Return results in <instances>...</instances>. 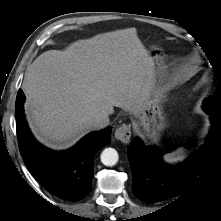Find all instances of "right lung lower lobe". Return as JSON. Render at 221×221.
Segmentation results:
<instances>
[{
    "mask_svg": "<svg viewBox=\"0 0 221 221\" xmlns=\"http://www.w3.org/2000/svg\"><path fill=\"white\" fill-rule=\"evenodd\" d=\"M25 98L20 89L15 106L16 129L25 165L51 194L67 201L80 200L91 190L94 156L110 143L112 127L88 134L68 151H50L34 139L27 126Z\"/></svg>",
    "mask_w": 221,
    "mask_h": 221,
    "instance_id": "right-lung-lower-lobe-1",
    "label": "right lung lower lobe"
}]
</instances>
